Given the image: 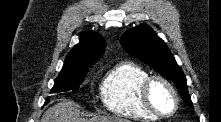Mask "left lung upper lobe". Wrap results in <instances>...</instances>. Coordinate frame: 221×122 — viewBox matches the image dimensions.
I'll use <instances>...</instances> for the list:
<instances>
[{"label":"left lung upper lobe","instance_id":"5c2ea615","mask_svg":"<svg viewBox=\"0 0 221 122\" xmlns=\"http://www.w3.org/2000/svg\"><path fill=\"white\" fill-rule=\"evenodd\" d=\"M121 45L130 55L147 63L163 77L174 81L184 102L193 107L186 77L172 57L170 50L151 27L146 24L128 30L120 39Z\"/></svg>","mask_w":221,"mask_h":122}]
</instances>
